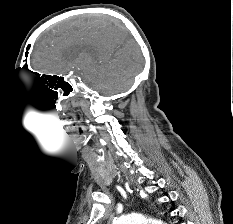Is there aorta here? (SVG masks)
Wrapping results in <instances>:
<instances>
[{
	"label": "aorta",
	"instance_id": "obj_1",
	"mask_svg": "<svg viewBox=\"0 0 233 224\" xmlns=\"http://www.w3.org/2000/svg\"><path fill=\"white\" fill-rule=\"evenodd\" d=\"M113 224H165L161 220L147 219L141 214H130L113 220Z\"/></svg>",
	"mask_w": 233,
	"mask_h": 224
}]
</instances>
